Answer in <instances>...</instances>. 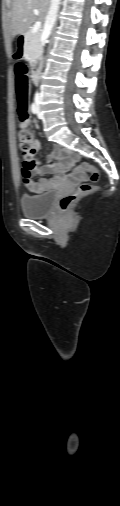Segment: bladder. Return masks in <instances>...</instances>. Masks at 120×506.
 I'll return each instance as SVG.
<instances>
[{"label":"bladder","mask_w":120,"mask_h":506,"mask_svg":"<svg viewBox=\"0 0 120 506\" xmlns=\"http://www.w3.org/2000/svg\"><path fill=\"white\" fill-rule=\"evenodd\" d=\"M56 191L49 190L37 195L23 194L20 197L22 213L29 218L46 217L55 201Z\"/></svg>","instance_id":"bladder-1"}]
</instances>
